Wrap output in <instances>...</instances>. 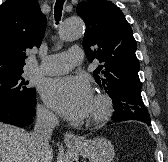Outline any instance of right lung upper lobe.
Listing matches in <instances>:
<instances>
[{
    "mask_svg": "<svg viewBox=\"0 0 168 162\" xmlns=\"http://www.w3.org/2000/svg\"><path fill=\"white\" fill-rule=\"evenodd\" d=\"M45 28L37 0H7L0 6V75L23 71L25 52L40 46Z\"/></svg>",
    "mask_w": 168,
    "mask_h": 162,
    "instance_id": "cb5924a9",
    "label": "right lung upper lobe"
}]
</instances>
